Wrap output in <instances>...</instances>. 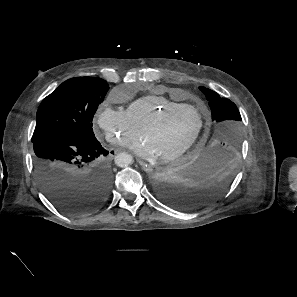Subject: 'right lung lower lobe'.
<instances>
[{
    "mask_svg": "<svg viewBox=\"0 0 297 297\" xmlns=\"http://www.w3.org/2000/svg\"><path fill=\"white\" fill-rule=\"evenodd\" d=\"M34 167L47 198L71 215L91 213L108 198L112 172L109 154L95 140L73 133H51L32 139Z\"/></svg>",
    "mask_w": 297,
    "mask_h": 297,
    "instance_id": "right-lung-lower-lobe-1",
    "label": "right lung lower lobe"
}]
</instances>
